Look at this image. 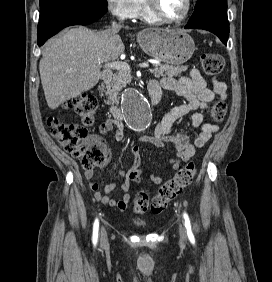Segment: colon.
<instances>
[{
  "label": "colon",
  "mask_w": 272,
  "mask_h": 282,
  "mask_svg": "<svg viewBox=\"0 0 272 282\" xmlns=\"http://www.w3.org/2000/svg\"><path fill=\"white\" fill-rule=\"evenodd\" d=\"M200 63L204 72L211 76L220 74L224 67L222 58L213 53L203 54ZM65 108L76 113L82 119V124L69 123L57 117H50L47 120V125L52 136L65 152L80 161L83 168L93 170L101 167L105 160L104 147L99 142H89L88 140V127L93 124L97 109L96 98L82 93L70 99ZM225 113L226 103L223 100H218L212 109L213 119L220 121ZM196 172V164L189 162L172 179L164 183L152 199H149L143 191L137 192L133 202L134 211L138 214H144L148 211L155 214L161 213L170 201L193 182ZM130 179L133 182H139V177L135 172L131 173Z\"/></svg>",
  "instance_id": "obj_1"
}]
</instances>
